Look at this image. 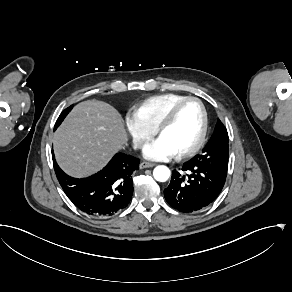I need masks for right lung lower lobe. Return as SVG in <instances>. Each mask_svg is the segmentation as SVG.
Segmentation results:
<instances>
[{
  "label": "right lung lower lobe",
  "mask_w": 292,
  "mask_h": 292,
  "mask_svg": "<svg viewBox=\"0 0 292 292\" xmlns=\"http://www.w3.org/2000/svg\"><path fill=\"white\" fill-rule=\"evenodd\" d=\"M57 179L67 197L84 213L93 217H108L128 206L132 199V173L140 160L117 153L98 173L87 178H73L64 173L55 161Z\"/></svg>",
  "instance_id": "1"
}]
</instances>
